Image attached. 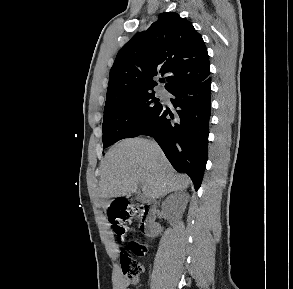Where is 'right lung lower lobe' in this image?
<instances>
[{
	"label": "right lung lower lobe",
	"instance_id": "right-lung-lower-lobe-1",
	"mask_svg": "<svg viewBox=\"0 0 293 289\" xmlns=\"http://www.w3.org/2000/svg\"><path fill=\"white\" fill-rule=\"evenodd\" d=\"M211 78L180 86L170 93L173 114L161 106L130 136L148 135L162 148L172 166L192 179L197 190L202 182L208 153Z\"/></svg>",
	"mask_w": 293,
	"mask_h": 289
}]
</instances>
